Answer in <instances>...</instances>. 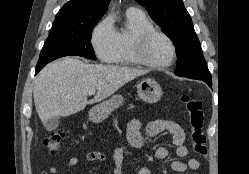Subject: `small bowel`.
<instances>
[{"mask_svg":"<svg viewBox=\"0 0 249 174\" xmlns=\"http://www.w3.org/2000/svg\"><path fill=\"white\" fill-rule=\"evenodd\" d=\"M142 125L137 119L132 120L127 129L128 146L141 147L146 142V137H153L163 131H168L171 135V142L175 147V154L179 158H184L188 154V149L185 146V132L182 127L176 122L168 119H157L150 122L144 129L145 136L141 132ZM126 147L121 146L115 149L112 155L113 174H123L124 154ZM153 157L156 159H165L169 152L165 147H158L153 151ZM87 161L107 162L106 156L98 151L89 152L86 155ZM80 158L77 156L71 157L67 163L68 167H74L79 164ZM200 166L199 160L190 157L186 162L174 160L170 163V168L175 172L196 171ZM58 170L55 166H51L48 172L42 174H57ZM152 170L148 167H142L136 171V174H152Z\"/></svg>","mask_w":249,"mask_h":174,"instance_id":"1","label":"small bowel"}]
</instances>
